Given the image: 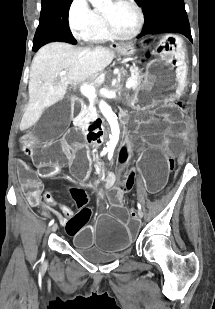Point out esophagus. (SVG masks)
<instances>
[{
  "label": "esophagus",
  "mask_w": 215,
  "mask_h": 309,
  "mask_svg": "<svg viewBox=\"0 0 215 309\" xmlns=\"http://www.w3.org/2000/svg\"><path fill=\"white\" fill-rule=\"evenodd\" d=\"M118 46H120V44H117V43H112V44H111V47H112V48H117Z\"/></svg>",
  "instance_id": "esophagus-1"
}]
</instances>
